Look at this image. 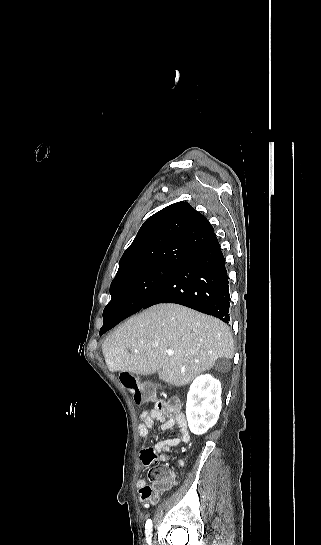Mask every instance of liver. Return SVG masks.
Wrapping results in <instances>:
<instances>
[{"label":"liver","instance_id":"6515ba94","mask_svg":"<svg viewBox=\"0 0 321 545\" xmlns=\"http://www.w3.org/2000/svg\"><path fill=\"white\" fill-rule=\"evenodd\" d=\"M166 351H173L172 357ZM102 353L112 373H158L165 383L183 387L235 351L230 329L219 319L161 303L120 325L105 339Z\"/></svg>","mask_w":321,"mask_h":545}]
</instances>
